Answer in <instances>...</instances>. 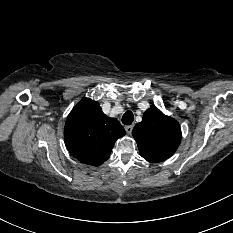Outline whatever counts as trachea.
<instances>
[{
    "mask_svg": "<svg viewBox=\"0 0 233 233\" xmlns=\"http://www.w3.org/2000/svg\"><path fill=\"white\" fill-rule=\"evenodd\" d=\"M133 120H134V115L130 110L126 111L122 116V123L124 125H131Z\"/></svg>",
    "mask_w": 233,
    "mask_h": 233,
    "instance_id": "trachea-1",
    "label": "trachea"
}]
</instances>
